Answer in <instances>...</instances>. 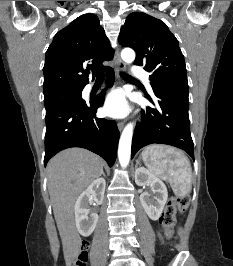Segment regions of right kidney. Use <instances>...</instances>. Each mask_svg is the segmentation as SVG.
<instances>
[{"instance_id": "ca27d5eb", "label": "right kidney", "mask_w": 233, "mask_h": 266, "mask_svg": "<svg viewBox=\"0 0 233 266\" xmlns=\"http://www.w3.org/2000/svg\"><path fill=\"white\" fill-rule=\"evenodd\" d=\"M105 187V179H96L81 193L75 203L76 227L78 232L84 237H88L93 233L99 218L96 213L89 214V205L93 201L97 204L103 202Z\"/></svg>"}]
</instances>
